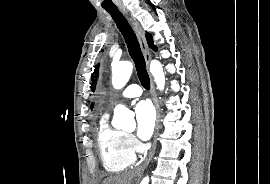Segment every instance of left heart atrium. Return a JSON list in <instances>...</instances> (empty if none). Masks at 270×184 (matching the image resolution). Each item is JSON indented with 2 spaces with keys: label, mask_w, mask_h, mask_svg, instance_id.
<instances>
[{
  "label": "left heart atrium",
  "mask_w": 270,
  "mask_h": 184,
  "mask_svg": "<svg viewBox=\"0 0 270 184\" xmlns=\"http://www.w3.org/2000/svg\"><path fill=\"white\" fill-rule=\"evenodd\" d=\"M137 123V136L142 140H148L154 131L155 111L148 101H141L135 107Z\"/></svg>",
  "instance_id": "1"
}]
</instances>
